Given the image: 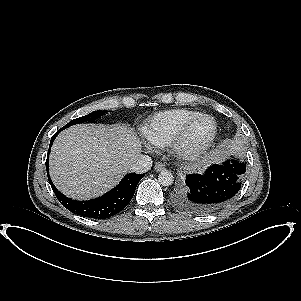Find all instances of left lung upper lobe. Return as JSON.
Masks as SVG:
<instances>
[{
    "instance_id": "obj_1",
    "label": "left lung upper lobe",
    "mask_w": 301,
    "mask_h": 301,
    "mask_svg": "<svg viewBox=\"0 0 301 301\" xmlns=\"http://www.w3.org/2000/svg\"><path fill=\"white\" fill-rule=\"evenodd\" d=\"M181 186H182V185H181ZM180 188H181V187H179V188L177 189V191H178ZM177 191H176V192H177ZM176 192H175V193H176ZM175 193H174V195H173V200H174V201H175V198H176V197H175ZM175 202H176V201H175Z\"/></svg>"
}]
</instances>
